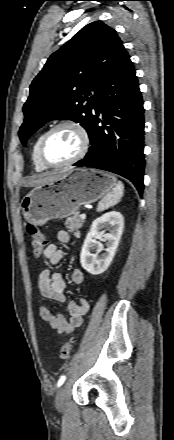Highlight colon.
<instances>
[{"mask_svg":"<svg viewBox=\"0 0 174 440\" xmlns=\"http://www.w3.org/2000/svg\"><path fill=\"white\" fill-rule=\"evenodd\" d=\"M28 233L31 237V252L34 258H38L45 246L46 241L44 235L41 233L38 227L35 225L29 224L27 226ZM74 340L71 339L67 341L60 349V358L63 360H66L70 357V354L72 352Z\"/></svg>","mask_w":174,"mask_h":440,"instance_id":"colon-1","label":"colon"}]
</instances>
